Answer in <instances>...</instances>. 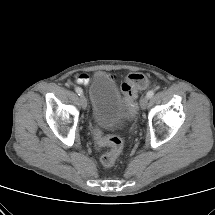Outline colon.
Instances as JSON below:
<instances>
[{"label":"colon","instance_id":"5ec220e1","mask_svg":"<svg viewBox=\"0 0 215 215\" xmlns=\"http://www.w3.org/2000/svg\"><path fill=\"white\" fill-rule=\"evenodd\" d=\"M148 83L149 81L146 76L141 73H133L121 85V91L129 117H134L137 113L138 91L146 88ZM94 137L100 146L108 148V151L101 156V164L106 168L113 166L122 151V139L114 135H104L99 129L94 130Z\"/></svg>","mask_w":215,"mask_h":215}]
</instances>
